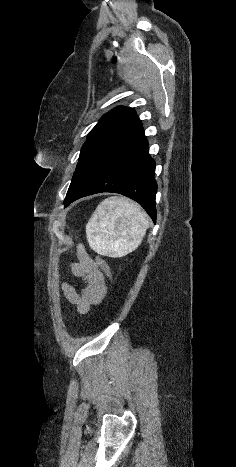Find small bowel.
<instances>
[{
	"mask_svg": "<svg viewBox=\"0 0 236 467\" xmlns=\"http://www.w3.org/2000/svg\"><path fill=\"white\" fill-rule=\"evenodd\" d=\"M71 272L82 281L83 287L78 292L72 285L64 282L63 294L80 314H87L104 299L108 289L107 278L97 262L82 247L77 250V262L72 264Z\"/></svg>",
	"mask_w": 236,
	"mask_h": 467,
	"instance_id": "small-bowel-1",
	"label": "small bowel"
}]
</instances>
